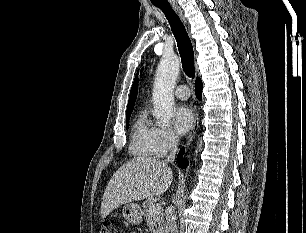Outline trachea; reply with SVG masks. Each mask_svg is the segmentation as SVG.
Instances as JSON below:
<instances>
[{"mask_svg":"<svg viewBox=\"0 0 306 233\" xmlns=\"http://www.w3.org/2000/svg\"><path fill=\"white\" fill-rule=\"evenodd\" d=\"M156 7L160 8L172 29V32L176 38L177 45L179 48V53L182 61V68L185 74L189 78H194L195 67H194V51L193 46L186 32L185 26L181 22L178 15L172 9L170 4H154Z\"/></svg>","mask_w":306,"mask_h":233,"instance_id":"1","label":"trachea"}]
</instances>
